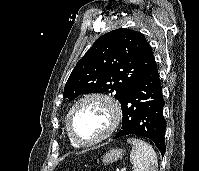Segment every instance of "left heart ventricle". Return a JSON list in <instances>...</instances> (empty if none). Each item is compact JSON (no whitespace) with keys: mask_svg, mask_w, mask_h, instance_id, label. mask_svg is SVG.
<instances>
[{"mask_svg":"<svg viewBox=\"0 0 199 171\" xmlns=\"http://www.w3.org/2000/svg\"><path fill=\"white\" fill-rule=\"evenodd\" d=\"M71 124L80 140H93L104 134L110 126V114L102 103L88 101L74 111Z\"/></svg>","mask_w":199,"mask_h":171,"instance_id":"1","label":"left heart ventricle"}]
</instances>
